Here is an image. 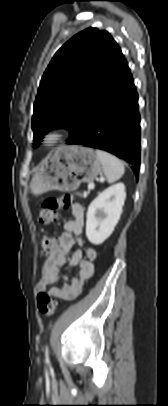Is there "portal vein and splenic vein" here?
Wrapping results in <instances>:
<instances>
[{
	"label": "portal vein and splenic vein",
	"mask_w": 168,
	"mask_h": 406,
	"mask_svg": "<svg viewBox=\"0 0 168 406\" xmlns=\"http://www.w3.org/2000/svg\"><path fill=\"white\" fill-rule=\"evenodd\" d=\"M94 187H95V185L93 182L88 184V190H92V189H94Z\"/></svg>",
	"instance_id": "18ae733b"
}]
</instances>
